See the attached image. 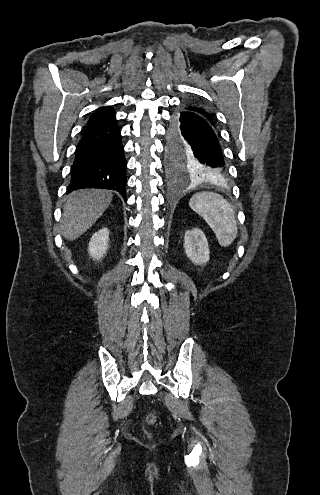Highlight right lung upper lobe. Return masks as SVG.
<instances>
[{
	"label": "right lung upper lobe",
	"instance_id": "obj_1",
	"mask_svg": "<svg viewBox=\"0 0 320 495\" xmlns=\"http://www.w3.org/2000/svg\"><path fill=\"white\" fill-rule=\"evenodd\" d=\"M114 118H115V111L112 106L100 107L90 117L89 121L87 122V126L94 125L102 121L114 119Z\"/></svg>",
	"mask_w": 320,
	"mask_h": 495
}]
</instances>
